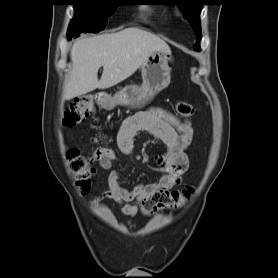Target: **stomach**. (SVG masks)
<instances>
[{
  "label": "stomach",
  "mask_w": 278,
  "mask_h": 278,
  "mask_svg": "<svg viewBox=\"0 0 278 278\" xmlns=\"http://www.w3.org/2000/svg\"><path fill=\"white\" fill-rule=\"evenodd\" d=\"M173 57L171 51L153 52L142 64V85H128L110 96L104 94L100 105L108 110L116 105L140 108L149 102L157 93L166 88L171 80L169 63Z\"/></svg>",
  "instance_id": "obj_1"
}]
</instances>
